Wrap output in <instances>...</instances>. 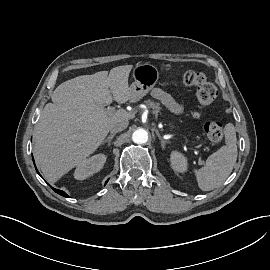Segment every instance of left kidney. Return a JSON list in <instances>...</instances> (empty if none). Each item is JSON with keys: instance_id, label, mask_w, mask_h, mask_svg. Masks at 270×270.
Segmentation results:
<instances>
[{"instance_id": "left-kidney-1", "label": "left kidney", "mask_w": 270, "mask_h": 270, "mask_svg": "<svg viewBox=\"0 0 270 270\" xmlns=\"http://www.w3.org/2000/svg\"><path fill=\"white\" fill-rule=\"evenodd\" d=\"M170 162L175 172L184 173L187 171V159L180 152L173 151L170 155Z\"/></svg>"}]
</instances>
